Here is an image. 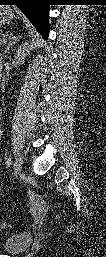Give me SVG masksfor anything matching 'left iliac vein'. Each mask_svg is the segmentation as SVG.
Returning <instances> with one entry per match:
<instances>
[{"mask_svg": "<svg viewBox=\"0 0 106 257\" xmlns=\"http://www.w3.org/2000/svg\"><path fill=\"white\" fill-rule=\"evenodd\" d=\"M14 173L16 176H19L20 173H21V163H20V159H16L15 162H14Z\"/></svg>", "mask_w": 106, "mask_h": 257, "instance_id": "left-iliac-vein-1", "label": "left iliac vein"}]
</instances>
